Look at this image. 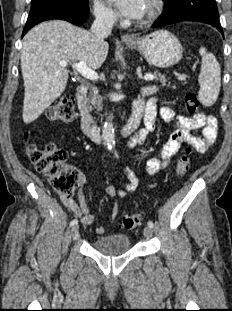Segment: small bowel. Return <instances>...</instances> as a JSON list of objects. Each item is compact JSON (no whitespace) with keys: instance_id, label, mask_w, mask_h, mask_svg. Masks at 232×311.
I'll list each match as a JSON object with an SVG mask.
<instances>
[{"instance_id":"1","label":"small bowel","mask_w":232,"mask_h":311,"mask_svg":"<svg viewBox=\"0 0 232 311\" xmlns=\"http://www.w3.org/2000/svg\"><path fill=\"white\" fill-rule=\"evenodd\" d=\"M157 87L150 86L142 90L141 101L145 106L144 126L139 129L128 141V146L134 148L146 143L148 136L156 129V114L159 109L161 119L173 128L167 142L163 145L159 157H153L148 160L146 171L149 175H155L164 171L172 162L174 155L179 151L183 143L191 144L199 153H205L215 142L217 137V119L214 116L204 113L195 114L192 117L177 115L168 105L159 107L157 98ZM147 98V101L145 100ZM201 129L202 137L194 134V131ZM62 140V137L58 139ZM127 182L124 189H117L113 185L106 187L107 193L114 196H124L127 191L133 190L137 186V178L134 173L125 168ZM86 178L83 174L79 175L80 189L78 190V203L72 197L60 196L63 205L78 217L82 224L91 225L95 217L89 213L87 200L83 192V185ZM118 208L115 206L112 210V220L116 218ZM106 232L104 227H97L96 233L102 235Z\"/></svg>"}]
</instances>
